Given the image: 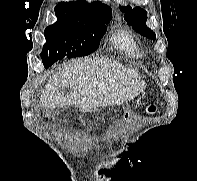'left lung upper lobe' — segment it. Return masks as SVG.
Returning <instances> with one entry per match:
<instances>
[{"label": "left lung upper lobe", "instance_id": "1", "mask_svg": "<svg viewBox=\"0 0 197 181\" xmlns=\"http://www.w3.org/2000/svg\"><path fill=\"white\" fill-rule=\"evenodd\" d=\"M119 7L122 12H125L124 19L128 24L132 25L137 32L147 38L156 39L155 33L146 25L147 12L144 9L141 7L132 9L129 5Z\"/></svg>", "mask_w": 197, "mask_h": 181}]
</instances>
